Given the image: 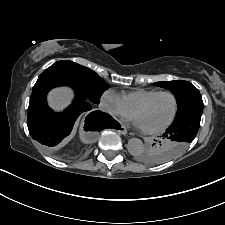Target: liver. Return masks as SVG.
<instances>
[{
	"label": "liver",
	"instance_id": "liver-1",
	"mask_svg": "<svg viewBox=\"0 0 225 225\" xmlns=\"http://www.w3.org/2000/svg\"><path fill=\"white\" fill-rule=\"evenodd\" d=\"M72 97V89L69 87H57L49 92L48 101L52 108L60 110L69 104Z\"/></svg>",
	"mask_w": 225,
	"mask_h": 225
}]
</instances>
